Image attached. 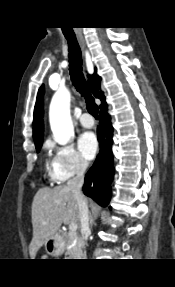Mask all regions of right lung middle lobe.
Returning a JSON list of instances; mask_svg holds the SVG:
<instances>
[{"label": "right lung middle lobe", "instance_id": "1", "mask_svg": "<svg viewBox=\"0 0 175 287\" xmlns=\"http://www.w3.org/2000/svg\"><path fill=\"white\" fill-rule=\"evenodd\" d=\"M35 146H36V150L39 151L41 149L42 142L36 143Z\"/></svg>", "mask_w": 175, "mask_h": 287}]
</instances>
